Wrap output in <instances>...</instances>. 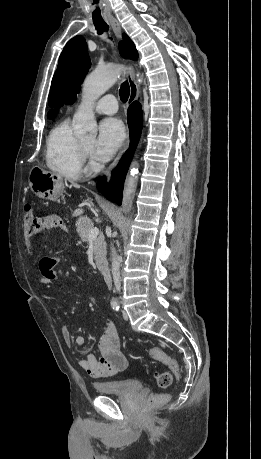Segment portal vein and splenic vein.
Wrapping results in <instances>:
<instances>
[{"mask_svg":"<svg viewBox=\"0 0 261 459\" xmlns=\"http://www.w3.org/2000/svg\"><path fill=\"white\" fill-rule=\"evenodd\" d=\"M99 234V229L97 227H93L92 229H90L89 231V239H94L98 236Z\"/></svg>","mask_w":261,"mask_h":459,"instance_id":"1","label":"portal vein and splenic vein"}]
</instances>
